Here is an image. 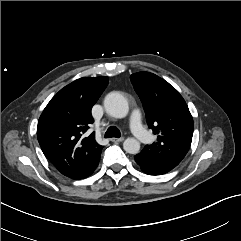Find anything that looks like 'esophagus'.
<instances>
[{"instance_id":"obj_1","label":"esophagus","mask_w":241,"mask_h":241,"mask_svg":"<svg viewBox=\"0 0 241 241\" xmlns=\"http://www.w3.org/2000/svg\"><path fill=\"white\" fill-rule=\"evenodd\" d=\"M124 140V137H120V138H111L112 142H122Z\"/></svg>"}]
</instances>
